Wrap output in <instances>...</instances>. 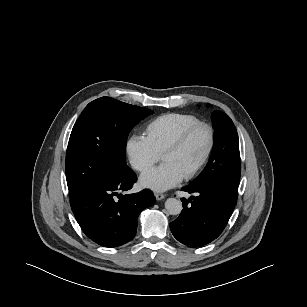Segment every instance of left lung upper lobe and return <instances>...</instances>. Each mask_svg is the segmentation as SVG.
I'll list each match as a JSON object with an SVG mask.
<instances>
[{
	"mask_svg": "<svg viewBox=\"0 0 307 307\" xmlns=\"http://www.w3.org/2000/svg\"><path fill=\"white\" fill-rule=\"evenodd\" d=\"M215 144L207 166L193 184H216L237 198L240 181V153L238 134L230 117L221 112L213 113Z\"/></svg>",
	"mask_w": 307,
	"mask_h": 307,
	"instance_id": "obj_1",
	"label": "left lung upper lobe"
}]
</instances>
